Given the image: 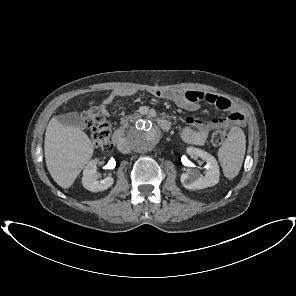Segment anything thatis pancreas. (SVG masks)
Listing matches in <instances>:
<instances>
[{"label": "pancreas", "instance_id": "pancreas-1", "mask_svg": "<svg viewBox=\"0 0 296 296\" xmlns=\"http://www.w3.org/2000/svg\"><path fill=\"white\" fill-rule=\"evenodd\" d=\"M132 119V116H127L121 119V130H124L129 127V121Z\"/></svg>", "mask_w": 296, "mask_h": 296}]
</instances>
